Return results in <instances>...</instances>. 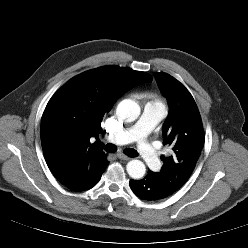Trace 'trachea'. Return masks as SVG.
Here are the masks:
<instances>
[{
	"mask_svg": "<svg viewBox=\"0 0 248 248\" xmlns=\"http://www.w3.org/2000/svg\"><path fill=\"white\" fill-rule=\"evenodd\" d=\"M98 146L101 148H104V150L108 153H115L117 151V147L113 144H110V143L104 145L103 143L98 141ZM124 153L129 157H137L138 156L137 151L135 149H132V148L125 149Z\"/></svg>",
	"mask_w": 248,
	"mask_h": 248,
	"instance_id": "trachea-1",
	"label": "trachea"
}]
</instances>
